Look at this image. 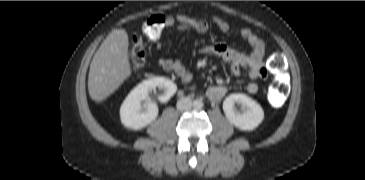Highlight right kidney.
<instances>
[{
    "label": "right kidney",
    "mask_w": 365,
    "mask_h": 180,
    "mask_svg": "<svg viewBox=\"0 0 365 180\" xmlns=\"http://www.w3.org/2000/svg\"><path fill=\"white\" fill-rule=\"evenodd\" d=\"M156 88L163 90V93L159 96V100L164 103L177 90L176 84L165 77H154L144 80L128 94L121 105L120 119L124 127L139 130L157 118L158 107L155 102L148 100L149 93L155 91Z\"/></svg>",
    "instance_id": "right-kidney-1"
}]
</instances>
